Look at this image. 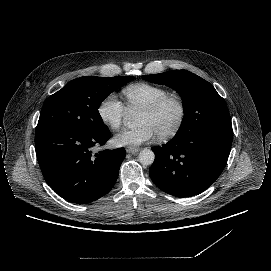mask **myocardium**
<instances>
[{"label": "myocardium", "mask_w": 271, "mask_h": 271, "mask_svg": "<svg viewBox=\"0 0 271 271\" xmlns=\"http://www.w3.org/2000/svg\"><path fill=\"white\" fill-rule=\"evenodd\" d=\"M170 102H175L177 104L178 109H179V114H178V118L176 122L170 129L157 135V137L161 140L168 139L174 136L178 132V130L181 128L185 120L186 105L182 97L177 94L169 93L161 97L160 99L156 100L151 105L145 107L141 111L142 113H146V114H155L159 112L163 107H165Z\"/></svg>", "instance_id": "obj_1"}]
</instances>
